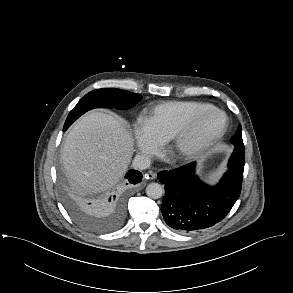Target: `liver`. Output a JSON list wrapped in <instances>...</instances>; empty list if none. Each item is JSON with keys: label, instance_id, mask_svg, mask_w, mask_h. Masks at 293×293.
Returning a JSON list of instances; mask_svg holds the SVG:
<instances>
[{"label": "liver", "instance_id": "1", "mask_svg": "<svg viewBox=\"0 0 293 293\" xmlns=\"http://www.w3.org/2000/svg\"><path fill=\"white\" fill-rule=\"evenodd\" d=\"M133 144L120 118L103 112L84 115L68 133L61 155L71 184L88 193L114 186L128 169Z\"/></svg>", "mask_w": 293, "mask_h": 293}]
</instances>
